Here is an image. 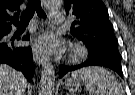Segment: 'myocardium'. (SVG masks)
I'll return each instance as SVG.
<instances>
[{
    "instance_id": "obj_1",
    "label": "myocardium",
    "mask_w": 135,
    "mask_h": 95,
    "mask_svg": "<svg viewBox=\"0 0 135 95\" xmlns=\"http://www.w3.org/2000/svg\"><path fill=\"white\" fill-rule=\"evenodd\" d=\"M87 53V48L82 43H75L70 48L69 57L72 61H77L83 58Z\"/></svg>"
}]
</instances>
